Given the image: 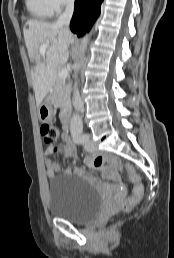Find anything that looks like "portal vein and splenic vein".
I'll return each instance as SVG.
<instances>
[{
    "label": "portal vein and splenic vein",
    "instance_id": "obj_1",
    "mask_svg": "<svg viewBox=\"0 0 174 258\" xmlns=\"http://www.w3.org/2000/svg\"><path fill=\"white\" fill-rule=\"evenodd\" d=\"M48 45H49V42H45L43 45H41L40 50H39L41 54H45ZM67 75H68L67 69H61V70L58 72V76H59L61 79H65V78L67 77Z\"/></svg>",
    "mask_w": 174,
    "mask_h": 258
}]
</instances>
